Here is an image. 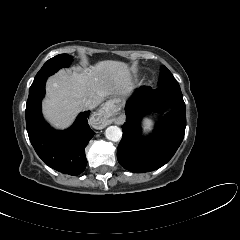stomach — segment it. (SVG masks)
Masks as SVG:
<instances>
[{
  "label": "stomach",
  "mask_w": 240,
  "mask_h": 240,
  "mask_svg": "<svg viewBox=\"0 0 240 240\" xmlns=\"http://www.w3.org/2000/svg\"><path fill=\"white\" fill-rule=\"evenodd\" d=\"M114 102L117 106H121L123 104V99H122V97H118L115 99Z\"/></svg>",
  "instance_id": "stomach-1"
}]
</instances>
